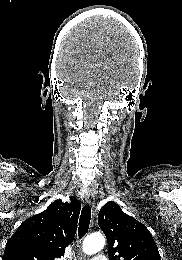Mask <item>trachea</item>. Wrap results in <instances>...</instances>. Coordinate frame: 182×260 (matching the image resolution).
Instances as JSON below:
<instances>
[{
    "mask_svg": "<svg viewBox=\"0 0 182 260\" xmlns=\"http://www.w3.org/2000/svg\"><path fill=\"white\" fill-rule=\"evenodd\" d=\"M90 220H91V206L85 205L82 208L80 219H79V228H78L79 238H82L84 234L87 232L89 228Z\"/></svg>",
    "mask_w": 182,
    "mask_h": 260,
    "instance_id": "trachea-1",
    "label": "trachea"
}]
</instances>
